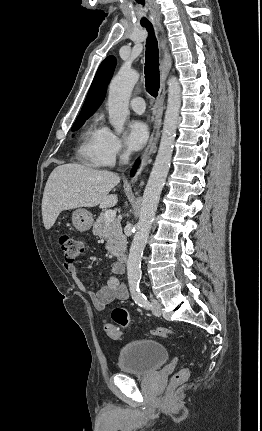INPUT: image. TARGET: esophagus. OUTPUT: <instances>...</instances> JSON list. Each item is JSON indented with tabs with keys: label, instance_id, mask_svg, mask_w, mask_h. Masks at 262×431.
Listing matches in <instances>:
<instances>
[{
	"label": "esophagus",
	"instance_id": "esophagus-1",
	"mask_svg": "<svg viewBox=\"0 0 262 431\" xmlns=\"http://www.w3.org/2000/svg\"><path fill=\"white\" fill-rule=\"evenodd\" d=\"M159 29L162 33L161 42L163 44V55L160 63V88L156 100L155 121L149 143L142 154L140 167L137 170L135 176L132 178V183L136 182L138 176L140 175L144 167L147 165L151 154L154 153V151L156 150V145L160 136L162 115L164 110L163 102L165 96V80L171 67V57L168 46L166 45L164 29L162 27H159Z\"/></svg>",
	"mask_w": 262,
	"mask_h": 431
}]
</instances>
